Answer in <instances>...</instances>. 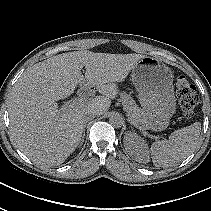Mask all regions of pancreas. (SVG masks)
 I'll return each mask as SVG.
<instances>
[{"instance_id": "cf45deb5", "label": "pancreas", "mask_w": 211, "mask_h": 211, "mask_svg": "<svg viewBox=\"0 0 211 211\" xmlns=\"http://www.w3.org/2000/svg\"><path fill=\"white\" fill-rule=\"evenodd\" d=\"M121 102L131 123H142L144 112L138 107L130 95L121 93Z\"/></svg>"}]
</instances>
